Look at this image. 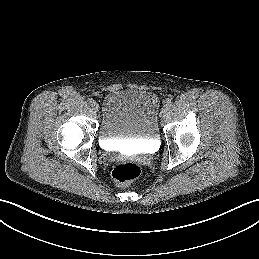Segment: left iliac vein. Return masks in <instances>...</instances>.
I'll use <instances>...</instances> for the list:
<instances>
[{
    "mask_svg": "<svg viewBox=\"0 0 259 259\" xmlns=\"http://www.w3.org/2000/svg\"><path fill=\"white\" fill-rule=\"evenodd\" d=\"M168 113V107L164 106L161 111H160V117L161 118H165L167 116Z\"/></svg>",
    "mask_w": 259,
    "mask_h": 259,
    "instance_id": "obj_1",
    "label": "left iliac vein"
}]
</instances>
